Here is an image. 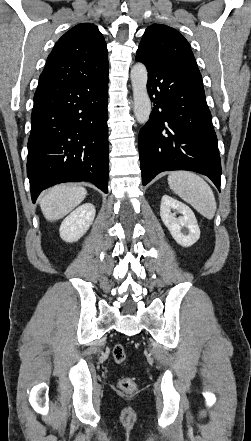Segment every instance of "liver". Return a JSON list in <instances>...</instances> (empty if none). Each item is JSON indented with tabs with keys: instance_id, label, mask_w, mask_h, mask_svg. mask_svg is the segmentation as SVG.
<instances>
[{
	"instance_id": "obj_1",
	"label": "liver",
	"mask_w": 251,
	"mask_h": 441,
	"mask_svg": "<svg viewBox=\"0 0 251 441\" xmlns=\"http://www.w3.org/2000/svg\"><path fill=\"white\" fill-rule=\"evenodd\" d=\"M87 191L76 185H56L40 199L43 215L49 221L63 218L86 197Z\"/></svg>"
}]
</instances>
